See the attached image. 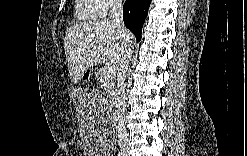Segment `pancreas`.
<instances>
[{
  "label": "pancreas",
  "mask_w": 247,
  "mask_h": 156,
  "mask_svg": "<svg viewBox=\"0 0 247 156\" xmlns=\"http://www.w3.org/2000/svg\"><path fill=\"white\" fill-rule=\"evenodd\" d=\"M98 81L103 84V87L105 89V92L108 95H111V93L114 91L115 88V78L116 76L114 74H109L105 71V69H101L98 73Z\"/></svg>",
  "instance_id": "cf45deb5"
}]
</instances>
